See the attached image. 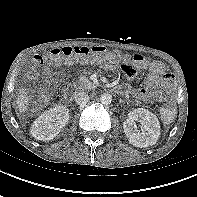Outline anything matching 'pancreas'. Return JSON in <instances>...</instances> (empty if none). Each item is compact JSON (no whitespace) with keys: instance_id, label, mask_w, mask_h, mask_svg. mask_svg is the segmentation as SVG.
<instances>
[{"instance_id":"cf45deb5","label":"pancreas","mask_w":197,"mask_h":197,"mask_svg":"<svg viewBox=\"0 0 197 197\" xmlns=\"http://www.w3.org/2000/svg\"><path fill=\"white\" fill-rule=\"evenodd\" d=\"M95 87V84L92 83L85 76H80L78 81V89H91Z\"/></svg>"}]
</instances>
